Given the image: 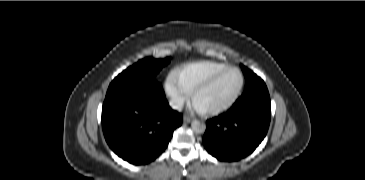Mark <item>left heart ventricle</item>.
I'll return each instance as SVG.
<instances>
[{
  "label": "left heart ventricle",
  "mask_w": 365,
  "mask_h": 180,
  "mask_svg": "<svg viewBox=\"0 0 365 180\" xmlns=\"http://www.w3.org/2000/svg\"><path fill=\"white\" fill-rule=\"evenodd\" d=\"M240 74L230 70L217 78L208 88L201 91L195 103L203 110L222 106L229 102L240 86Z\"/></svg>",
  "instance_id": "b2bd125f"
}]
</instances>
